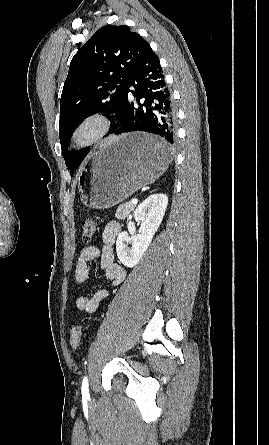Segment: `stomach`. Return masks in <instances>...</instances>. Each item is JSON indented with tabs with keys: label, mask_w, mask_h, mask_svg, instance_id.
Segmentation results:
<instances>
[{
	"label": "stomach",
	"mask_w": 269,
	"mask_h": 445,
	"mask_svg": "<svg viewBox=\"0 0 269 445\" xmlns=\"http://www.w3.org/2000/svg\"><path fill=\"white\" fill-rule=\"evenodd\" d=\"M159 139L141 132L112 138L97 150L78 178L83 204L107 209L152 184L167 169L171 153L149 154L145 146Z\"/></svg>",
	"instance_id": "obj_1"
}]
</instances>
